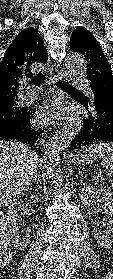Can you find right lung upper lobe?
Returning <instances> with one entry per match:
<instances>
[{"mask_svg":"<svg viewBox=\"0 0 113 279\" xmlns=\"http://www.w3.org/2000/svg\"><path fill=\"white\" fill-rule=\"evenodd\" d=\"M44 41L34 28L21 31L10 44L0 63V108L15 103L19 81L31 77L30 66L47 61Z\"/></svg>","mask_w":113,"mask_h":279,"instance_id":"1","label":"right lung upper lobe"}]
</instances>
